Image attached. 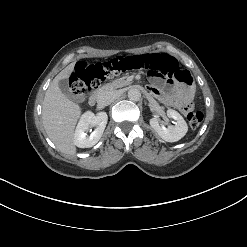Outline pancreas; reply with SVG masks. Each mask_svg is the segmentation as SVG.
I'll return each instance as SVG.
<instances>
[{
	"mask_svg": "<svg viewBox=\"0 0 247 247\" xmlns=\"http://www.w3.org/2000/svg\"><path fill=\"white\" fill-rule=\"evenodd\" d=\"M129 84H130V82L125 80L124 78L116 79L113 82L102 86L99 89L98 94L103 93L104 91H107V90L121 88V87H124V86L129 85Z\"/></svg>",
	"mask_w": 247,
	"mask_h": 247,
	"instance_id": "obj_1",
	"label": "pancreas"
}]
</instances>
